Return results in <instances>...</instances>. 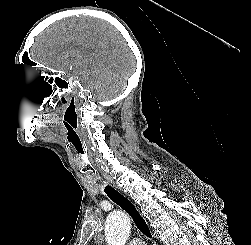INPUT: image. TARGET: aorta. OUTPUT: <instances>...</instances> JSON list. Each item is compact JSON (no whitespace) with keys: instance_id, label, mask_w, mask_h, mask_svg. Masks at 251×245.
Returning <instances> with one entry per match:
<instances>
[{"instance_id":"obj_1","label":"aorta","mask_w":251,"mask_h":245,"mask_svg":"<svg viewBox=\"0 0 251 245\" xmlns=\"http://www.w3.org/2000/svg\"><path fill=\"white\" fill-rule=\"evenodd\" d=\"M131 230L127 215L120 211L108 215L105 224V236L108 245H125Z\"/></svg>"}]
</instances>
